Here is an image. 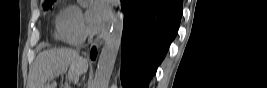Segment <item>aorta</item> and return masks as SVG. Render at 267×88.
<instances>
[{
    "mask_svg": "<svg viewBox=\"0 0 267 88\" xmlns=\"http://www.w3.org/2000/svg\"><path fill=\"white\" fill-rule=\"evenodd\" d=\"M86 5L88 0H78ZM124 15L118 11L113 19L102 48L92 88H107L121 43Z\"/></svg>",
    "mask_w": 267,
    "mask_h": 88,
    "instance_id": "1",
    "label": "aorta"
}]
</instances>
